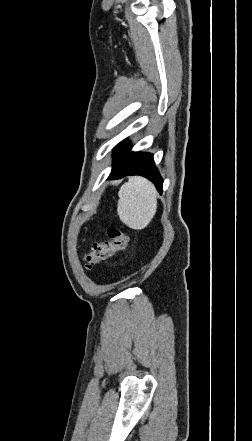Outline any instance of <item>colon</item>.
<instances>
[{
  "instance_id": "1",
  "label": "colon",
  "mask_w": 252,
  "mask_h": 441,
  "mask_svg": "<svg viewBox=\"0 0 252 441\" xmlns=\"http://www.w3.org/2000/svg\"><path fill=\"white\" fill-rule=\"evenodd\" d=\"M108 239L104 242L93 243L89 252L83 256V263L87 269H92L102 261L110 258L115 253L126 248L128 237L117 227L107 229Z\"/></svg>"
}]
</instances>
